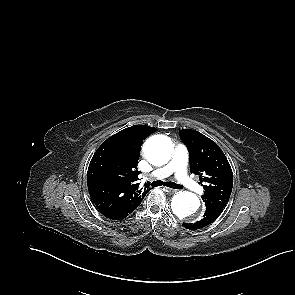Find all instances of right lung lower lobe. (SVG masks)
<instances>
[{"label":"right lung lower lobe","instance_id":"98d812e1","mask_svg":"<svg viewBox=\"0 0 295 295\" xmlns=\"http://www.w3.org/2000/svg\"><path fill=\"white\" fill-rule=\"evenodd\" d=\"M139 204L132 206L130 208H126V209H122V210H118V211H109V210L99 209V208L98 209L105 217H107L109 219L121 220V219L127 217L133 210H135L139 206Z\"/></svg>","mask_w":295,"mask_h":295}]
</instances>
